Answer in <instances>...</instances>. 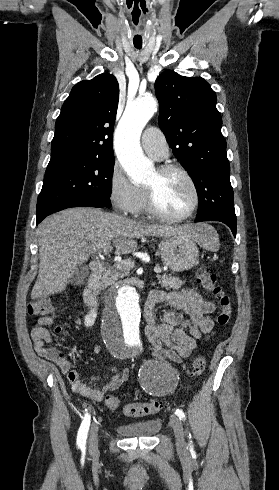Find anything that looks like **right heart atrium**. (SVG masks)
<instances>
[{
  "label": "right heart atrium",
  "instance_id": "1",
  "mask_svg": "<svg viewBox=\"0 0 279 490\" xmlns=\"http://www.w3.org/2000/svg\"><path fill=\"white\" fill-rule=\"evenodd\" d=\"M109 198L119 213L138 216L146 205V191L134 185L125 175L120 164L115 161L108 175Z\"/></svg>",
  "mask_w": 279,
  "mask_h": 490
}]
</instances>
